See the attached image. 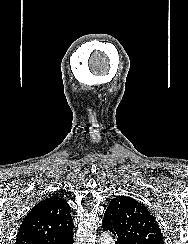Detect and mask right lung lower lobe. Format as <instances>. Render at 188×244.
<instances>
[{
	"label": "right lung lower lobe",
	"mask_w": 188,
	"mask_h": 244,
	"mask_svg": "<svg viewBox=\"0 0 188 244\" xmlns=\"http://www.w3.org/2000/svg\"><path fill=\"white\" fill-rule=\"evenodd\" d=\"M73 235H71L67 240L62 242L61 244H73Z\"/></svg>",
	"instance_id": "obj_1"
}]
</instances>
